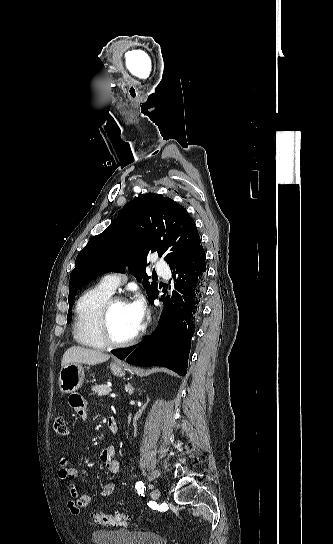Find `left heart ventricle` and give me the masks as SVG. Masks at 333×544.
Segmentation results:
<instances>
[{"instance_id":"b2bd125f","label":"left heart ventricle","mask_w":333,"mask_h":544,"mask_svg":"<svg viewBox=\"0 0 333 544\" xmlns=\"http://www.w3.org/2000/svg\"><path fill=\"white\" fill-rule=\"evenodd\" d=\"M110 330L117 340L130 338L138 330L128 303L116 304L110 314Z\"/></svg>"}]
</instances>
